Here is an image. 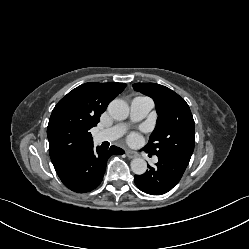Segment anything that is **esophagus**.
Listing matches in <instances>:
<instances>
[{
	"label": "esophagus",
	"mask_w": 249,
	"mask_h": 249,
	"mask_svg": "<svg viewBox=\"0 0 249 249\" xmlns=\"http://www.w3.org/2000/svg\"><path fill=\"white\" fill-rule=\"evenodd\" d=\"M126 155L128 158H135L138 156L137 152L131 150H126Z\"/></svg>",
	"instance_id": "34e87169"
}]
</instances>
